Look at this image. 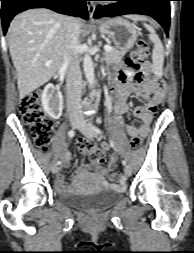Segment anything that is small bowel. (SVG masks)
Here are the masks:
<instances>
[{
    "mask_svg": "<svg viewBox=\"0 0 194 253\" xmlns=\"http://www.w3.org/2000/svg\"><path fill=\"white\" fill-rule=\"evenodd\" d=\"M140 61H147V56H140ZM140 73H136L127 67H121L111 74L110 94L114 104L113 113L116 121L122 124V115L129 111L128 98L134 95L136 98L146 101L144 106H138L134 109V115L140 119V126L134 124L126 125V131L131 137L139 136L145 138L150 130V124L157 105L160 104L165 96V85L162 81L151 77L149 69L151 63H142ZM111 147L109 142H102L101 150L108 151ZM63 167L69 165L71 153L64 150L61 154ZM119 156L117 153H112L109 156L107 165L104 168L95 167V171L101 176L106 177L118 162ZM93 167L83 162L78 172L83 173L91 170ZM55 185L59 191L65 192L69 189L68 183L63 174H58L55 179Z\"/></svg>",
    "mask_w": 194,
    "mask_h": 253,
    "instance_id": "small-bowel-1",
    "label": "small bowel"
}]
</instances>
